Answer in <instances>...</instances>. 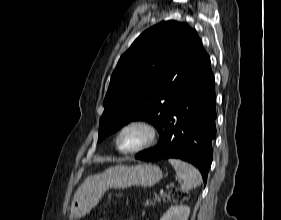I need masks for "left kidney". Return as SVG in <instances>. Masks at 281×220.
Returning <instances> with one entry per match:
<instances>
[{
	"instance_id": "5707ae66",
	"label": "left kidney",
	"mask_w": 281,
	"mask_h": 220,
	"mask_svg": "<svg viewBox=\"0 0 281 220\" xmlns=\"http://www.w3.org/2000/svg\"><path fill=\"white\" fill-rule=\"evenodd\" d=\"M190 208L187 205L171 206L160 220H188Z\"/></svg>"
}]
</instances>
